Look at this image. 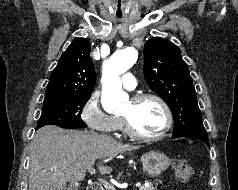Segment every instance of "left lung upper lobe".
Segmentation results:
<instances>
[{
  "label": "left lung upper lobe",
  "instance_id": "5c2ea615",
  "mask_svg": "<svg viewBox=\"0 0 238 190\" xmlns=\"http://www.w3.org/2000/svg\"><path fill=\"white\" fill-rule=\"evenodd\" d=\"M144 76L148 86L170 107L174 134H207L192 77L176 45L159 37L148 40L144 45Z\"/></svg>",
  "mask_w": 238,
  "mask_h": 190
}]
</instances>
